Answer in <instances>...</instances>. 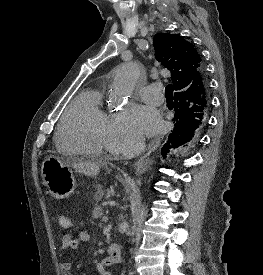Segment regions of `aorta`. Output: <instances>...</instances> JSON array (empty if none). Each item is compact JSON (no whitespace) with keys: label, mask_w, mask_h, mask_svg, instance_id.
Masks as SVG:
<instances>
[{"label":"aorta","mask_w":263,"mask_h":275,"mask_svg":"<svg viewBox=\"0 0 263 275\" xmlns=\"http://www.w3.org/2000/svg\"><path fill=\"white\" fill-rule=\"evenodd\" d=\"M140 78V69L135 63H124L117 67L110 86V99L122 103L133 93Z\"/></svg>","instance_id":"762f6f07"}]
</instances>
